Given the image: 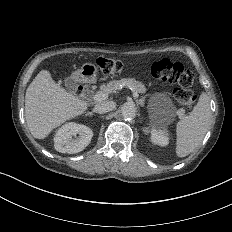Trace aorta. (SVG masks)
Masks as SVG:
<instances>
[{"label": "aorta", "mask_w": 232, "mask_h": 232, "mask_svg": "<svg viewBox=\"0 0 232 232\" xmlns=\"http://www.w3.org/2000/svg\"><path fill=\"white\" fill-rule=\"evenodd\" d=\"M121 113L125 118L132 119L136 116L137 108L134 103L127 102L122 105Z\"/></svg>", "instance_id": "obj_1"}]
</instances>
